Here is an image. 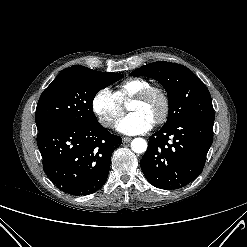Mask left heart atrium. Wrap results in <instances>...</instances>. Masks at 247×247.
<instances>
[{
    "instance_id": "39dd6f15",
    "label": "left heart atrium",
    "mask_w": 247,
    "mask_h": 247,
    "mask_svg": "<svg viewBox=\"0 0 247 247\" xmlns=\"http://www.w3.org/2000/svg\"><path fill=\"white\" fill-rule=\"evenodd\" d=\"M154 121L140 112H131L122 118L116 125V129L124 134L136 135L149 131Z\"/></svg>"
}]
</instances>
